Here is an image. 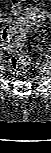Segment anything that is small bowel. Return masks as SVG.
I'll return each instance as SVG.
<instances>
[{
	"label": "small bowel",
	"instance_id": "obj_1",
	"mask_svg": "<svg viewBox=\"0 0 51 153\" xmlns=\"http://www.w3.org/2000/svg\"><path fill=\"white\" fill-rule=\"evenodd\" d=\"M29 14H30V13H29ZM30 16H32V15L30 14ZM32 17L38 18V17H40V15H39V14H35V15H33Z\"/></svg>",
	"mask_w": 51,
	"mask_h": 153
}]
</instances>
